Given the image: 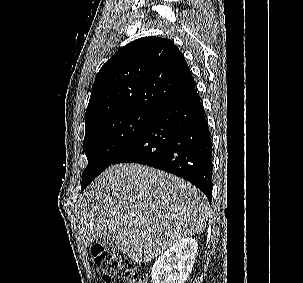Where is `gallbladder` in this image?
I'll return each instance as SVG.
<instances>
[{
    "label": "gallbladder",
    "mask_w": 303,
    "mask_h": 283,
    "mask_svg": "<svg viewBox=\"0 0 303 283\" xmlns=\"http://www.w3.org/2000/svg\"><path fill=\"white\" fill-rule=\"evenodd\" d=\"M99 244L108 250H115L116 247V239L113 235L102 236L98 240Z\"/></svg>",
    "instance_id": "gallbladder-1"
}]
</instances>
